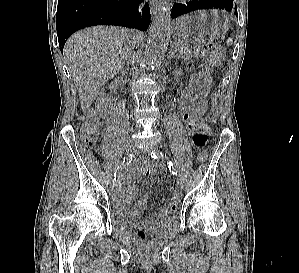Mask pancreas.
Listing matches in <instances>:
<instances>
[{
    "label": "pancreas",
    "instance_id": "pancreas-1",
    "mask_svg": "<svg viewBox=\"0 0 299 273\" xmlns=\"http://www.w3.org/2000/svg\"><path fill=\"white\" fill-rule=\"evenodd\" d=\"M179 57H182L185 60L190 59V57H192V46L188 43H178L175 46Z\"/></svg>",
    "mask_w": 299,
    "mask_h": 273
}]
</instances>
